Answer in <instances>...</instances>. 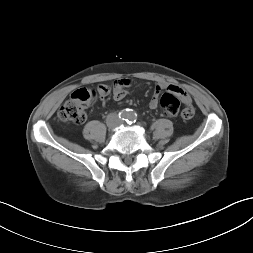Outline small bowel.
Returning a JSON list of instances; mask_svg holds the SVG:
<instances>
[{
  "instance_id": "1",
  "label": "small bowel",
  "mask_w": 253,
  "mask_h": 253,
  "mask_svg": "<svg viewBox=\"0 0 253 253\" xmlns=\"http://www.w3.org/2000/svg\"><path fill=\"white\" fill-rule=\"evenodd\" d=\"M132 81L129 78H120L114 81L112 89L107 85H100L97 89L102 93L103 97L112 92L113 99L120 101L126 96V88L131 85ZM106 90V91H104ZM163 91L175 93L184 104L180 109V117L183 120H192L196 116V109L191 105L192 99L189 94L179 86L159 82L154 88L152 97L149 101V107L156 109L159 105V97Z\"/></svg>"
}]
</instances>
